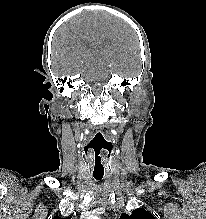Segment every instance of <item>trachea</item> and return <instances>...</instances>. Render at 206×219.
<instances>
[{
  "label": "trachea",
  "instance_id": "1",
  "mask_svg": "<svg viewBox=\"0 0 206 219\" xmlns=\"http://www.w3.org/2000/svg\"><path fill=\"white\" fill-rule=\"evenodd\" d=\"M94 178L96 180H101L103 178V175H94Z\"/></svg>",
  "mask_w": 206,
  "mask_h": 219
}]
</instances>
